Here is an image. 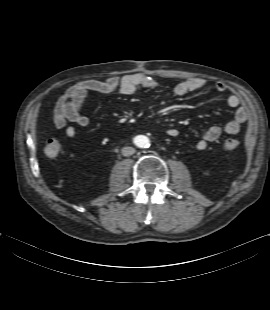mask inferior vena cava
<instances>
[{
  "mask_svg": "<svg viewBox=\"0 0 270 310\" xmlns=\"http://www.w3.org/2000/svg\"><path fill=\"white\" fill-rule=\"evenodd\" d=\"M134 153H135V149L133 147L126 146L122 148V155L125 157L133 155Z\"/></svg>",
  "mask_w": 270,
  "mask_h": 310,
  "instance_id": "obj_1",
  "label": "inferior vena cava"
}]
</instances>
